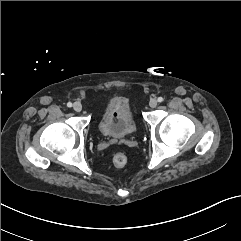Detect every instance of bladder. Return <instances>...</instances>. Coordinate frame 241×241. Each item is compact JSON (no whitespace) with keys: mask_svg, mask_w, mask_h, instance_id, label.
I'll return each mask as SVG.
<instances>
[{"mask_svg":"<svg viewBox=\"0 0 241 241\" xmlns=\"http://www.w3.org/2000/svg\"><path fill=\"white\" fill-rule=\"evenodd\" d=\"M99 132L109 138L125 139L134 135L136 124L127 99L113 97L98 123Z\"/></svg>","mask_w":241,"mask_h":241,"instance_id":"31cf9c89","label":"bladder"}]
</instances>
